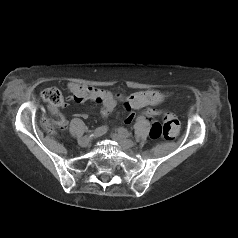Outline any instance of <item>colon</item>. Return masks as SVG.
<instances>
[{"mask_svg":"<svg viewBox=\"0 0 238 238\" xmlns=\"http://www.w3.org/2000/svg\"><path fill=\"white\" fill-rule=\"evenodd\" d=\"M41 97L44 101H46L53 107L61 106L64 101L62 93L56 87H49L44 89L41 92ZM144 116L147 119L155 118L157 120H160L163 118L164 113L160 109L155 110L154 108H147L144 111ZM48 129L49 131L53 130L51 127H48ZM178 132H179V121L173 115L168 114L166 115L163 124L158 123L153 124L150 130V137L152 139H158L160 137H163L167 140H170L176 137Z\"/></svg>","mask_w":238,"mask_h":238,"instance_id":"5ec220e1","label":"colon"}]
</instances>
